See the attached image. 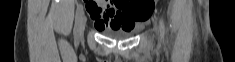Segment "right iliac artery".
I'll return each mask as SVG.
<instances>
[{
    "label": "right iliac artery",
    "mask_w": 235,
    "mask_h": 62,
    "mask_svg": "<svg viewBox=\"0 0 235 62\" xmlns=\"http://www.w3.org/2000/svg\"><path fill=\"white\" fill-rule=\"evenodd\" d=\"M82 14H83V7L81 4H79L77 6V10H76V18H75V26H74V36H76L78 28H79V24L82 18Z\"/></svg>",
    "instance_id": "right-iliac-artery-1"
}]
</instances>
